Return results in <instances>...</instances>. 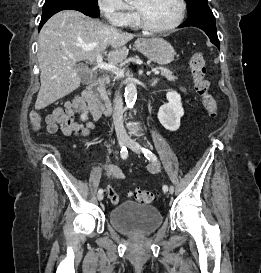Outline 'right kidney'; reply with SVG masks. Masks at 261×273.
Masks as SVG:
<instances>
[{
    "label": "right kidney",
    "mask_w": 261,
    "mask_h": 273,
    "mask_svg": "<svg viewBox=\"0 0 261 273\" xmlns=\"http://www.w3.org/2000/svg\"><path fill=\"white\" fill-rule=\"evenodd\" d=\"M81 119L84 121V120H86L87 118H86L85 115H82Z\"/></svg>",
    "instance_id": "right-kidney-1"
}]
</instances>
